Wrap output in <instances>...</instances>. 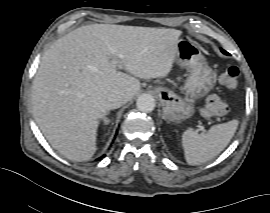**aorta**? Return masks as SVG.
<instances>
[{
	"instance_id": "obj_1",
	"label": "aorta",
	"mask_w": 270,
	"mask_h": 213,
	"mask_svg": "<svg viewBox=\"0 0 270 213\" xmlns=\"http://www.w3.org/2000/svg\"><path fill=\"white\" fill-rule=\"evenodd\" d=\"M136 106L140 111L148 113L154 110L156 102L152 95L143 94L138 97Z\"/></svg>"
}]
</instances>
